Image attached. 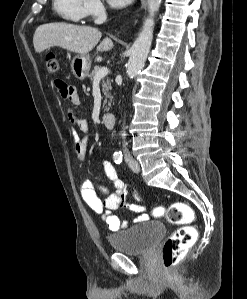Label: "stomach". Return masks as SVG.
I'll return each mask as SVG.
<instances>
[{
    "label": "stomach",
    "instance_id": "0dacf381",
    "mask_svg": "<svg viewBox=\"0 0 247 299\" xmlns=\"http://www.w3.org/2000/svg\"><path fill=\"white\" fill-rule=\"evenodd\" d=\"M91 68V59L87 55H76L71 62V71L79 79H85Z\"/></svg>",
    "mask_w": 247,
    "mask_h": 299
}]
</instances>
